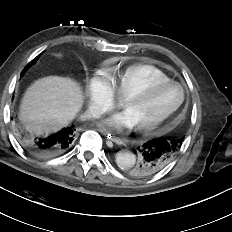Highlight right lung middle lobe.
<instances>
[{"mask_svg":"<svg viewBox=\"0 0 232 232\" xmlns=\"http://www.w3.org/2000/svg\"><path fill=\"white\" fill-rule=\"evenodd\" d=\"M39 57H40V55H38L35 59H33V60L25 67L24 71L27 70V69H28L30 66H32L33 64H35Z\"/></svg>","mask_w":232,"mask_h":232,"instance_id":"1","label":"right lung middle lobe"}]
</instances>
